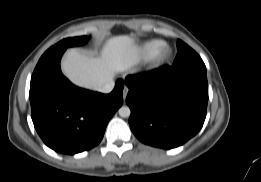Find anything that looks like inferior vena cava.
Returning a JSON list of instances; mask_svg holds the SVG:
<instances>
[{
  "instance_id": "1",
  "label": "inferior vena cava",
  "mask_w": 261,
  "mask_h": 182,
  "mask_svg": "<svg viewBox=\"0 0 261 182\" xmlns=\"http://www.w3.org/2000/svg\"><path fill=\"white\" fill-rule=\"evenodd\" d=\"M114 88L113 79L108 80L105 84L99 86L97 90L102 93H110Z\"/></svg>"
}]
</instances>
